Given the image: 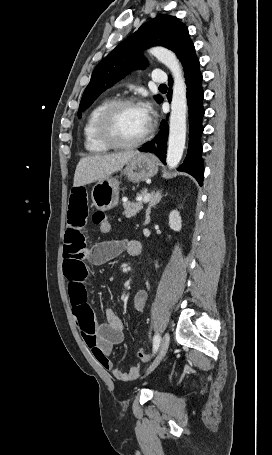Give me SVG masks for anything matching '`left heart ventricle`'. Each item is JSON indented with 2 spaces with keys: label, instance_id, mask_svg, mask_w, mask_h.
<instances>
[{
  "label": "left heart ventricle",
  "instance_id": "1",
  "mask_svg": "<svg viewBox=\"0 0 272 455\" xmlns=\"http://www.w3.org/2000/svg\"><path fill=\"white\" fill-rule=\"evenodd\" d=\"M117 138L123 142H132L140 138L147 129L139 106H127L119 109L112 121Z\"/></svg>",
  "mask_w": 272,
  "mask_h": 455
}]
</instances>
